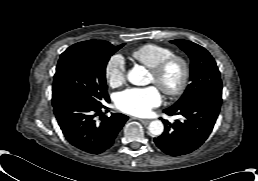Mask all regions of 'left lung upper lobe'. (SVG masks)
Returning a JSON list of instances; mask_svg holds the SVG:
<instances>
[{"label": "left lung upper lobe", "instance_id": "1", "mask_svg": "<svg viewBox=\"0 0 258 181\" xmlns=\"http://www.w3.org/2000/svg\"><path fill=\"white\" fill-rule=\"evenodd\" d=\"M176 44L191 59L190 80L182 97L173 107L183 106L207 96H222V82L220 72L210 53L200 45L188 40L176 39Z\"/></svg>", "mask_w": 258, "mask_h": 181}]
</instances>
